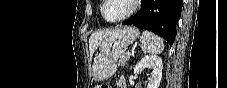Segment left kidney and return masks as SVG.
Returning <instances> with one entry per match:
<instances>
[{"label":"left kidney","mask_w":227,"mask_h":88,"mask_svg":"<svg viewBox=\"0 0 227 88\" xmlns=\"http://www.w3.org/2000/svg\"><path fill=\"white\" fill-rule=\"evenodd\" d=\"M146 68L152 70L147 88H158L162 78V59L156 55H146L136 64L134 73L139 74Z\"/></svg>","instance_id":"5707ae66"}]
</instances>
